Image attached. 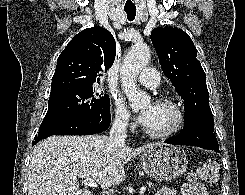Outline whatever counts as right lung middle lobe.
<instances>
[{"label": "right lung middle lobe", "instance_id": "1", "mask_svg": "<svg viewBox=\"0 0 245 195\" xmlns=\"http://www.w3.org/2000/svg\"><path fill=\"white\" fill-rule=\"evenodd\" d=\"M103 108H110L109 96L95 91L93 86L72 87L51 92L48 111L39 131Z\"/></svg>", "mask_w": 245, "mask_h": 195}]
</instances>
